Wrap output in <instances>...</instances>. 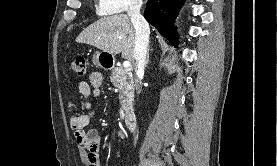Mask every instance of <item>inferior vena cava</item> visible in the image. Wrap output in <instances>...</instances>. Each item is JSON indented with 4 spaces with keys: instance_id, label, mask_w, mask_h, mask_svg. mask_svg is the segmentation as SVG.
<instances>
[{
    "instance_id": "obj_1",
    "label": "inferior vena cava",
    "mask_w": 277,
    "mask_h": 166,
    "mask_svg": "<svg viewBox=\"0 0 277 166\" xmlns=\"http://www.w3.org/2000/svg\"><path fill=\"white\" fill-rule=\"evenodd\" d=\"M141 6V0H132L128 9V16L135 28V47L133 56L135 59L136 74L135 88L138 94L141 92V80L146 65L150 35L149 24L140 13Z\"/></svg>"
}]
</instances>
